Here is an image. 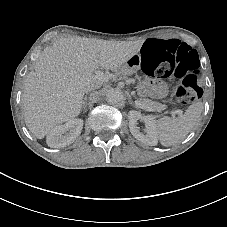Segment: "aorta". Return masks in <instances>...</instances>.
Here are the masks:
<instances>
[{"label": "aorta", "mask_w": 227, "mask_h": 227, "mask_svg": "<svg viewBox=\"0 0 227 227\" xmlns=\"http://www.w3.org/2000/svg\"><path fill=\"white\" fill-rule=\"evenodd\" d=\"M106 100L110 104H117L123 100V93L118 89H111L106 94Z\"/></svg>", "instance_id": "obj_1"}]
</instances>
